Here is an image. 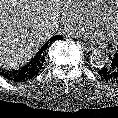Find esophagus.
<instances>
[{"label":"esophagus","mask_w":118,"mask_h":118,"mask_svg":"<svg viewBox=\"0 0 118 118\" xmlns=\"http://www.w3.org/2000/svg\"><path fill=\"white\" fill-rule=\"evenodd\" d=\"M82 46L84 47L85 50L87 51H93L95 48L93 46H89L85 43H82Z\"/></svg>","instance_id":"34e87169"}]
</instances>
